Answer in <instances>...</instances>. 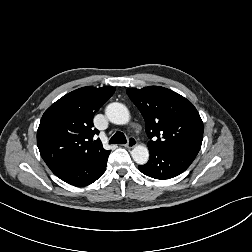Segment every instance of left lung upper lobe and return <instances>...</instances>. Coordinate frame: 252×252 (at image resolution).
<instances>
[{
  "instance_id": "obj_1",
  "label": "left lung upper lobe",
  "mask_w": 252,
  "mask_h": 252,
  "mask_svg": "<svg viewBox=\"0 0 252 252\" xmlns=\"http://www.w3.org/2000/svg\"><path fill=\"white\" fill-rule=\"evenodd\" d=\"M127 94L145 119L146 133L151 139L149 151L198 154L203 139V122L191 102L159 86L130 88Z\"/></svg>"
}]
</instances>
